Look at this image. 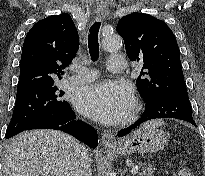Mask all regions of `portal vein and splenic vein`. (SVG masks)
Returning a JSON list of instances; mask_svg holds the SVG:
<instances>
[{
	"mask_svg": "<svg viewBox=\"0 0 205 176\" xmlns=\"http://www.w3.org/2000/svg\"><path fill=\"white\" fill-rule=\"evenodd\" d=\"M137 173H138V167L135 166V167L132 168V174L136 175Z\"/></svg>",
	"mask_w": 205,
	"mask_h": 176,
	"instance_id": "obj_1",
	"label": "portal vein and splenic vein"
}]
</instances>
